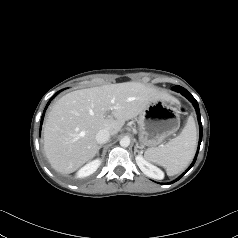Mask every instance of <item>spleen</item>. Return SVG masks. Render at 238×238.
Instances as JSON below:
<instances>
[{"mask_svg": "<svg viewBox=\"0 0 238 238\" xmlns=\"http://www.w3.org/2000/svg\"><path fill=\"white\" fill-rule=\"evenodd\" d=\"M197 145V129L193 117H189L182 132L165 145L148 148L144 157L166 169L169 176L182 172L192 160Z\"/></svg>", "mask_w": 238, "mask_h": 238, "instance_id": "3e777b00", "label": "spleen"}]
</instances>
